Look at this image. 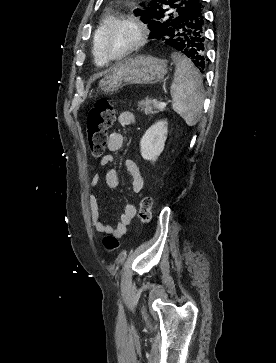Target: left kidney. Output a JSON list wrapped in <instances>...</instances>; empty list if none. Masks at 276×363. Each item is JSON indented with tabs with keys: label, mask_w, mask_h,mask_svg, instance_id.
<instances>
[{
	"label": "left kidney",
	"mask_w": 276,
	"mask_h": 363,
	"mask_svg": "<svg viewBox=\"0 0 276 363\" xmlns=\"http://www.w3.org/2000/svg\"><path fill=\"white\" fill-rule=\"evenodd\" d=\"M168 133V122L158 121L143 135L140 141L141 155L145 160L155 162L162 153Z\"/></svg>",
	"instance_id": "obj_1"
}]
</instances>
